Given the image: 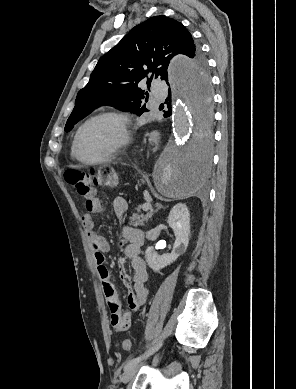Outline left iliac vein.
I'll return each instance as SVG.
<instances>
[{
  "label": "left iliac vein",
  "mask_w": 296,
  "mask_h": 389,
  "mask_svg": "<svg viewBox=\"0 0 296 389\" xmlns=\"http://www.w3.org/2000/svg\"><path fill=\"white\" fill-rule=\"evenodd\" d=\"M138 368H139V366L136 364L135 366H133V367L129 368L128 370H126L125 374L123 376V383L126 384L129 381H131L135 377V375H136V373L138 371Z\"/></svg>",
  "instance_id": "4c4485c4"
}]
</instances>
